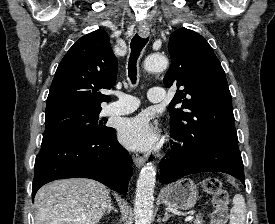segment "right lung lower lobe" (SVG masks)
Here are the masks:
<instances>
[{
  "label": "right lung lower lobe",
  "instance_id": "98d812e1",
  "mask_svg": "<svg viewBox=\"0 0 275 224\" xmlns=\"http://www.w3.org/2000/svg\"><path fill=\"white\" fill-rule=\"evenodd\" d=\"M131 175L130 156L118 143L114 128L93 138L43 137L35 160L32 200L44 184L75 177L94 179L125 195Z\"/></svg>",
  "mask_w": 275,
  "mask_h": 224
}]
</instances>
